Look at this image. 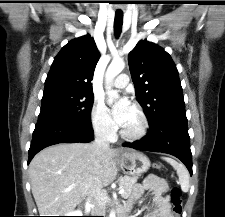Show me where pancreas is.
Masks as SVG:
<instances>
[{
    "label": "pancreas",
    "instance_id": "1",
    "mask_svg": "<svg viewBox=\"0 0 225 217\" xmlns=\"http://www.w3.org/2000/svg\"><path fill=\"white\" fill-rule=\"evenodd\" d=\"M137 179H138L137 176H134V177L124 176L119 179V186L120 188L124 189V193L121 194L123 198L126 199L131 195L132 189L134 185L136 184Z\"/></svg>",
    "mask_w": 225,
    "mask_h": 217
}]
</instances>
